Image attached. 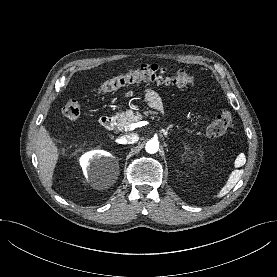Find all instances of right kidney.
I'll use <instances>...</instances> for the list:
<instances>
[{
	"instance_id": "right-kidney-1",
	"label": "right kidney",
	"mask_w": 277,
	"mask_h": 277,
	"mask_svg": "<svg viewBox=\"0 0 277 277\" xmlns=\"http://www.w3.org/2000/svg\"><path fill=\"white\" fill-rule=\"evenodd\" d=\"M111 156L109 153L101 150H94L84 154L80 158V164L83 167L86 176H92L94 174V165L98 162L109 161Z\"/></svg>"
}]
</instances>
